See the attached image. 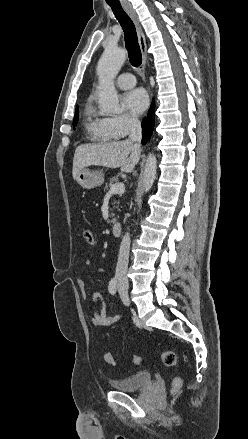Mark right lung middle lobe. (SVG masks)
<instances>
[{
  "label": "right lung middle lobe",
  "instance_id": "right-lung-middle-lobe-1",
  "mask_svg": "<svg viewBox=\"0 0 248 439\" xmlns=\"http://www.w3.org/2000/svg\"><path fill=\"white\" fill-rule=\"evenodd\" d=\"M78 116H79V114H78V110H77L75 112V116H74V119H73V126H76V124L78 122Z\"/></svg>",
  "mask_w": 248,
  "mask_h": 439
}]
</instances>
